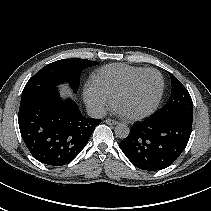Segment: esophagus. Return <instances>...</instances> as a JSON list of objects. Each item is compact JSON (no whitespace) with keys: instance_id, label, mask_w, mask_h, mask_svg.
Instances as JSON below:
<instances>
[{"instance_id":"esophagus-1","label":"esophagus","mask_w":211,"mask_h":211,"mask_svg":"<svg viewBox=\"0 0 211 211\" xmlns=\"http://www.w3.org/2000/svg\"><path fill=\"white\" fill-rule=\"evenodd\" d=\"M105 122L108 125H116V124H118V121L110 119V118L106 119Z\"/></svg>"}]
</instances>
